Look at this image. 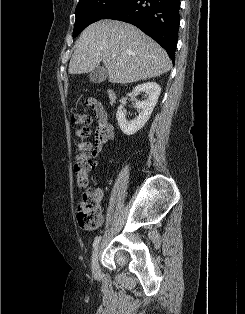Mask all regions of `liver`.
<instances>
[{
	"mask_svg": "<svg viewBox=\"0 0 245 314\" xmlns=\"http://www.w3.org/2000/svg\"><path fill=\"white\" fill-rule=\"evenodd\" d=\"M116 54V58L112 55ZM103 62L111 83H133L167 73L166 51L137 27L116 20L89 25L75 44L70 74L89 73Z\"/></svg>",
	"mask_w": 245,
	"mask_h": 314,
	"instance_id": "liver-1",
	"label": "liver"
}]
</instances>
